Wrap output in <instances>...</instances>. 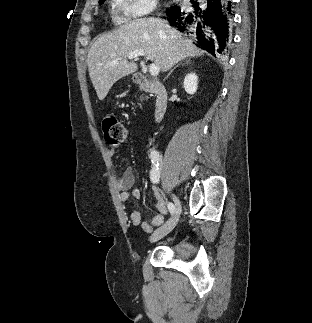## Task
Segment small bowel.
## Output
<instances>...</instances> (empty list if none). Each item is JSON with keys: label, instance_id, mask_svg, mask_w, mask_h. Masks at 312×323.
Returning <instances> with one entry per match:
<instances>
[{"label": "small bowel", "instance_id": "1", "mask_svg": "<svg viewBox=\"0 0 312 323\" xmlns=\"http://www.w3.org/2000/svg\"><path fill=\"white\" fill-rule=\"evenodd\" d=\"M109 153L110 155H114L115 149H110ZM134 180L135 176L132 169L125 170L117 180V188L120 191V200L124 204L128 203L131 198H140L141 192L138 188L134 187ZM153 194L157 214L152 220L142 223V229L146 232H151L155 227L161 225L163 223L164 216L167 213V208L156 188H153ZM129 221L133 226L139 225L141 223V212L139 210H133L130 214Z\"/></svg>", "mask_w": 312, "mask_h": 323}]
</instances>
